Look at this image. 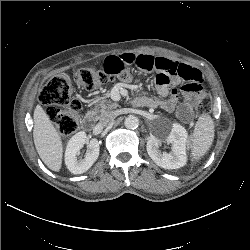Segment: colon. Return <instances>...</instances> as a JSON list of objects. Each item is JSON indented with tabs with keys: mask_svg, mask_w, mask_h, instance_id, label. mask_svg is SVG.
I'll use <instances>...</instances> for the list:
<instances>
[{
	"mask_svg": "<svg viewBox=\"0 0 250 250\" xmlns=\"http://www.w3.org/2000/svg\"><path fill=\"white\" fill-rule=\"evenodd\" d=\"M115 77L114 73L105 69L85 67L77 70L73 79L78 86L93 91ZM40 101L47 107L48 117L61 134L70 135L76 131L81 103L74 95L72 79L67 73L58 74L47 82L40 93ZM211 109V95L202 90L197 100V113L204 115Z\"/></svg>",
	"mask_w": 250,
	"mask_h": 250,
	"instance_id": "obj_1",
	"label": "colon"
}]
</instances>
